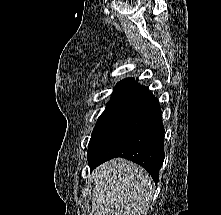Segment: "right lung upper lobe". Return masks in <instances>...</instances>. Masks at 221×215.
I'll list each match as a JSON object with an SVG mask.
<instances>
[{
  "mask_svg": "<svg viewBox=\"0 0 221 215\" xmlns=\"http://www.w3.org/2000/svg\"><path fill=\"white\" fill-rule=\"evenodd\" d=\"M148 89L139 85L132 78H127L120 81L114 88L111 101H133L136 98L144 95Z\"/></svg>",
  "mask_w": 221,
  "mask_h": 215,
  "instance_id": "1",
  "label": "right lung upper lobe"
}]
</instances>
